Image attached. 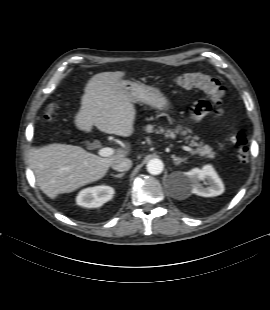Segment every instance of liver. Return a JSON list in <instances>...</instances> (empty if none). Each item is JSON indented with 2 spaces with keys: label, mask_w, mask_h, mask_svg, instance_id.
Instances as JSON below:
<instances>
[{
  "label": "liver",
  "mask_w": 270,
  "mask_h": 310,
  "mask_svg": "<svg viewBox=\"0 0 270 310\" xmlns=\"http://www.w3.org/2000/svg\"><path fill=\"white\" fill-rule=\"evenodd\" d=\"M125 72H102L90 78L84 88L81 107L74 117L77 129L90 133L93 126L100 131L129 137L134 132L136 110L124 89ZM130 152L116 149L107 158L85 151L79 146L53 143L34 147L30 152V165L37 184L44 194L55 199L88 183L103 178L112 163Z\"/></svg>",
  "instance_id": "obj_1"
}]
</instances>
